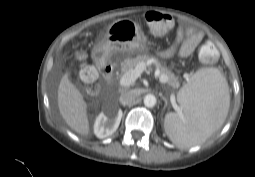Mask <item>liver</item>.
<instances>
[{"label": "liver", "instance_id": "1", "mask_svg": "<svg viewBox=\"0 0 255 177\" xmlns=\"http://www.w3.org/2000/svg\"><path fill=\"white\" fill-rule=\"evenodd\" d=\"M57 100L60 114L67 125L77 133L87 136L90 131L87 105L80 91L70 82L67 74L60 81Z\"/></svg>", "mask_w": 255, "mask_h": 177}]
</instances>
